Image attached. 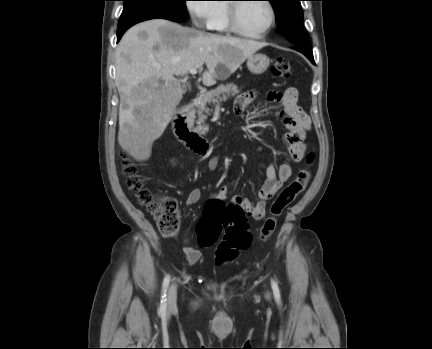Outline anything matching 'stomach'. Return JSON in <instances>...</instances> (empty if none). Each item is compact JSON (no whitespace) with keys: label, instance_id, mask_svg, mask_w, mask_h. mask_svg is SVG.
<instances>
[{"label":"stomach","instance_id":"obj_1","mask_svg":"<svg viewBox=\"0 0 432 349\" xmlns=\"http://www.w3.org/2000/svg\"><path fill=\"white\" fill-rule=\"evenodd\" d=\"M270 65V59L265 54L255 53L247 58V67L253 74H262Z\"/></svg>","mask_w":432,"mask_h":349}]
</instances>
